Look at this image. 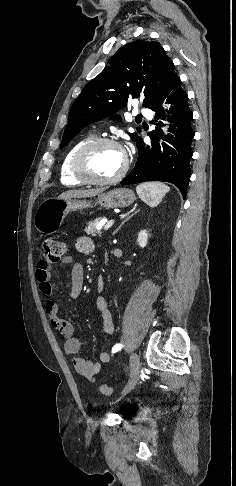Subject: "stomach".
Wrapping results in <instances>:
<instances>
[{
	"mask_svg": "<svg viewBox=\"0 0 236 486\" xmlns=\"http://www.w3.org/2000/svg\"><path fill=\"white\" fill-rule=\"evenodd\" d=\"M135 199L134 192L128 188H117L101 193L95 202L86 199H46L36 210L34 226L40 233L49 235L57 231L65 216L72 211L93 207L94 203L105 209L127 207Z\"/></svg>",
	"mask_w": 236,
	"mask_h": 486,
	"instance_id": "1",
	"label": "stomach"
}]
</instances>
